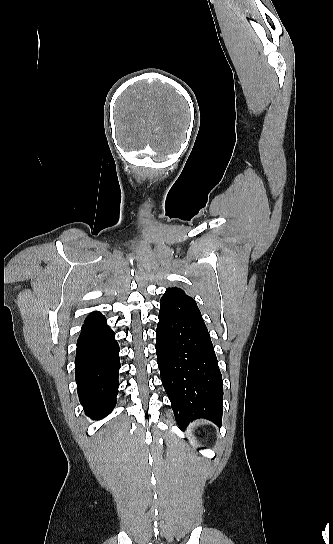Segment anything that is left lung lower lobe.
Wrapping results in <instances>:
<instances>
[{
  "label": "left lung lower lobe",
  "mask_w": 333,
  "mask_h": 544,
  "mask_svg": "<svg viewBox=\"0 0 333 544\" xmlns=\"http://www.w3.org/2000/svg\"><path fill=\"white\" fill-rule=\"evenodd\" d=\"M160 307L157 363L178 425L184 429L193 420L204 418L221 426L222 375L195 300L166 294Z\"/></svg>",
  "instance_id": "obj_1"
}]
</instances>
